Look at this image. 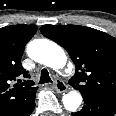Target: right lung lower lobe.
I'll return each instance as SVG.
<instances>
[{
  "mask_svg": "<svg viewBox=\"0 0 116 116\" xmlns=\"http://www.w3.org/2000/svg\"><path fill=\"white\" fill-rule=\"evenodd\" d=\"M34 108H35V102L29 108H27V110L23 112L21 116H30Z\"/></svg>",
  "mask_w": 116,
  "mask_h": 116,
  "instance_id": "98d812e1",
  "label": "right lung lower lobe"
}]
</instances>
